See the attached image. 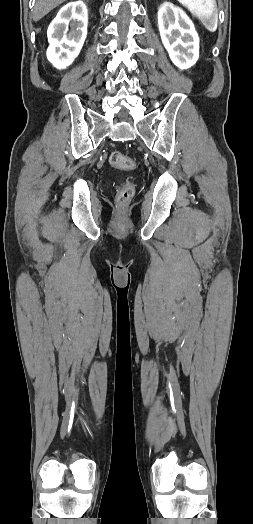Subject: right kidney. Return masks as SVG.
Segmentation results:
<instances>
[{
	"label": "right kidney",
	"instance_id": "right-kidney-1",
	"mask_svg": "<svg viewBox=\"0 0 253 524\" xmlns=\"http://www.w3.org/2000/svg\"><path fill=\"white\" fill-rule=\"evenodd\" d=\"M88 13L82 1L71 2L58 12L47 36L48 60L58 69L69 66L79 55L87 36Z\"/></svg>",
	"mask_w": 253,
	"mask_h": 524
}]
</instances>
